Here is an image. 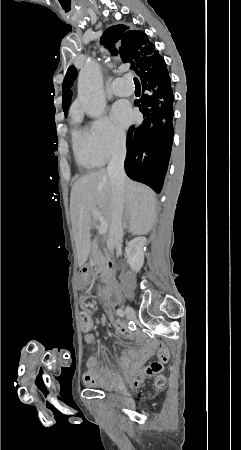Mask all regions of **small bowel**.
Wrapping results in <instances>:
<instances>
[{"label": "small bowel", "mask_w": 241, "mask_h": 450, "mask_svg": "<svg viewBox=\"0 0 241 450\" xmlns=\"http://www.w3.org/2000/svg\"><path fill=\"white\" fill-rule=\"evenodd\" d=\"M85 286L80 285L81 288ZM86 299L87 297H84L83 302ZM82 311L91 312L88 308H84ZM114 327L119 336L129 341L135 340L138 348H129L124 351L120 371L103 369L101 360L94 354L90 355L87 360V373L85 374V377L88 378L87 383L93 386L114 388L127 382L132 388H139L146 376L163 369L164 364L169 358L168 350L163 343H154L144 338L140 333L132 332L120 320L114 322ZM84 344L92 352L95 344V336L92 333H86L84 335ZM155 347L158 349L157 360L147 367H142L143 359L153 357L154 354L150 350Z\"/></svg>", "instance_id": "1"}]
</instances>
